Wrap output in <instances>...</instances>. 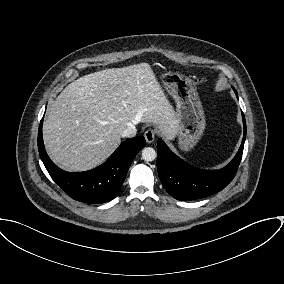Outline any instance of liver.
I'll return each mask as SVG.
<instances>
[{"label":"liver","mask_w":284,"mask_h":284,"mask_svg":"<svg viewBox=\"0 0 284 284\" xmlns=\"http://www.w3.org/2000/svg\"><path fill=\"white\" fill-rule=\"evenodd\" d=\"M155 124L168 139L178 122L151 66L112 68L80 77L50 105L43 139L51 159L68 171L103 163L131 124Z\"/></svg>","instance_id":"1"}]
</instances>
